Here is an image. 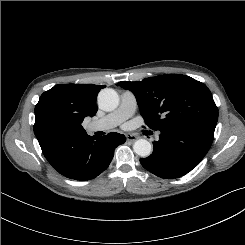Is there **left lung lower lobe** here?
I'll use <instances>...</instances> for the list:
<instances>
[{
	"label": "left lung lower lobe",
	"mask_w": 245,
	"mask_h": 245,
	"mask_svg": "<svg viewBox=\"0 0 245 245\" xmlns=\"http://www.w3.org/2000/svg\"><path fill=\"white\" fill-rule=\"evenodd\" d=\"M213 135L194 127L161 129L159 140L153 142V153L140 162L158 177H181L201 162L211 147Z\"/></svg>",
	"instance_id": "1"
}]
</instances>
